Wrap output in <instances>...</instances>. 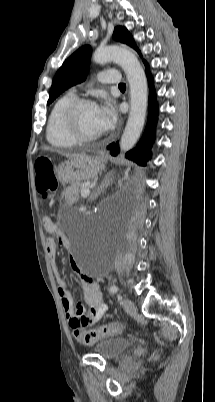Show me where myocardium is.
Instances as JSON below:
<instances>
[{
  "label": "myocardium",
  "mask_w": 215,
  "mask_h": 402,
  "mask_svg": "<svg viewBox=\"0 0 215 402\" xmlns=\"http://www.w3.org/2000/svg\"><path fill=\"white\" fill-rule=\"evenodd\" d=\"M87 105L96 106V103L88 98H76L66 107L63 115V124L68 135L77 143H88L100 138V134L86 135L79 127L78 116L80 110Z\"/></svg>",
  "instance_id": "myocardium-1"
}]
</instances>
